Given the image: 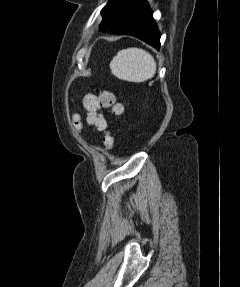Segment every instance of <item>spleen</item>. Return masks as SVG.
<instances>
[{
  "mask_svg": "<svg viewBox=\"0 0 240 287\" xmlns=\"http://www.w3.org/2000/svg\"><path fill=\"white\" fill-rule=\"evenodd\" d=\"M110 69L120 80L140 83L154 77L156 62L144 49L132 47L120 50L110 62Z\"/></svg>",
  "mask_w": 240,
  "mask_h": 287,
  "instance_id": "3e777b00",
  "label": "spleen"
}]
</instances>
